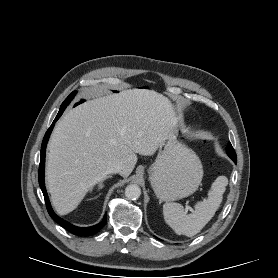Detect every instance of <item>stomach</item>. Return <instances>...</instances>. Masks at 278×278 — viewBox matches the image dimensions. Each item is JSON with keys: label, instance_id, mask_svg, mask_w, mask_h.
I'll list each match as a JSON object with an SVG mask.
<instances>
[{"label": "stomach", "instance_id": "1", "mask_svg": "<svg viewBox=\"0 0 278 278\" xmlns=\"http://www.w3.org/2000/svg\"><path fill=\"white\" fill-rule=\"evenodd\" d=\"M151 186L160 201H175L193 194L199 187L203 168L196 153L174 134L159 146L148 170Z\"/></svg>", "mask_w": 278, "mask_h": 278}]
</instances>
